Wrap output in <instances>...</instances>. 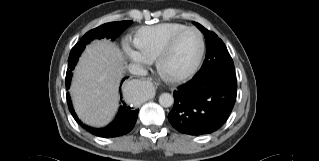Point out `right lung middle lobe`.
<instances>
[{"label": "right lung middle lobe", "mask_w": 319, "mask_h": 161, "mask_svg": "<svg viewBox=\"0 0 319 161\" xmlns=\"http://www.w3.org/2000/svg\"><path fill=\"white\" fill-rule=\"evenodd\" d=\"M132 21H119L103 24L93 30L87 32L81 41H79L71 50L68 59V70L66 74V81H71L72 70L74 69L81 52L85 49L86 44L93 39L112 38L114 40L118 37Z\"/></svg>", "instance_id": "dd1d6c3e"}]
</instances>
